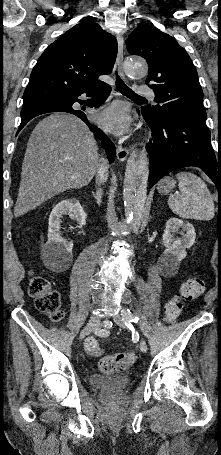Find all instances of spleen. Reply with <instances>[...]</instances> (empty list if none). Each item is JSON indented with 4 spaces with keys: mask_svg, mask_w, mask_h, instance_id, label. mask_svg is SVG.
I'll return each mask as SVG.
<instances>
[{
    "mask_svg": "<svg viewBox=\"0 0 221 455\" xmlns=\"http://www.w3.org/2000/svg\"><path fill=\"white\" fill-rule=\"evenodd\" d=\"M180 194L171 195L168 205L173 213L181 218L211 220L215 215V206L206 183L191 172H179Z\"/></svg>",
    "mask_w": 221,
    "mask_h": 455,
    "instance_id": "spleen-1",
    "label": "spleen"
}]
</instances>
